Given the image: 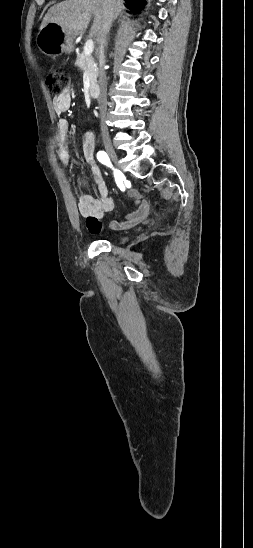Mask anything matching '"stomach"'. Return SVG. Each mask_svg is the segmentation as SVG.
Wrapping results in <instances>:
<instances>
[{
    "label": "stomach",
    "mask_w": 253,
    "mask_h": 548,
    "mask_svg": "<svg viewBox=\"0 0 253 548\" xmlns=\"http://www.w3.org/2000/svg\"><path fill=\"white\" fill-rule=\"evenodd\" d=\"M73 40V37L68 36L55 23H49L38 32L36 44L39 50L45 55L59 56L63 53L73 52Z\"/></svg>",
    "instance_id": "obj_1"
}]
</instances>
